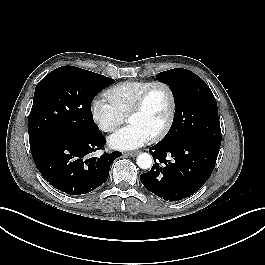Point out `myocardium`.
Here are the masks:
<instances>
[{"label":"myocardium","mask_w":265,"mask_h":265,"mask_svg":"<svg viewBox=\"0 0 265 265\" xmlns=\"http://www.w3.org/2000/svg\"><path fill=\"white\" fill-rule=\"evenodd\" d=\"M160 87L163 88L168 97H169V112L167 115V118L164 122V124L162 125V127L153 135L151 136L152 140H159L161 138H163L168 131L170 130L172 123L174 121V117H175V113H176V99H175V94L172 90V88L170 87L169 84L162 82V81H154L151 84H149L138 96V98L136 99V101L134 102V104L132 105V107L130 108L128 114H127V120H129V118L140 112L141 109L143 108L149 94L152 92L153 89Z\"/></svg>","instance_id":"myocardium-1"}]
</instances>
